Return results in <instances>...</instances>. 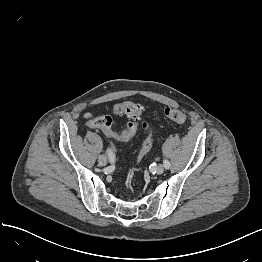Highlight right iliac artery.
<instances>
[{
    "instance_id": "right-iliac-artery-1",
    "label": "right iliac artery",
    "mask_w": 262,
    "mask_h": 262,
    "mask_svg": "<svg viewBox=\"0 0 262 262\" xmlns=\"http://www.w3.org/2000/svg\"><path fill=\"white\" fill-rule=\"evenodd\" d=\"M107 154H108V156H109L110 159H111V158L113 157V155H114L111 149H108V150H107Z\"/></svg>"
}]
</instances>
